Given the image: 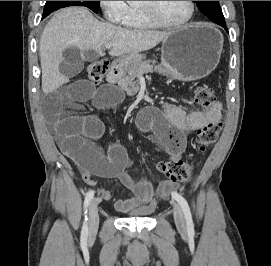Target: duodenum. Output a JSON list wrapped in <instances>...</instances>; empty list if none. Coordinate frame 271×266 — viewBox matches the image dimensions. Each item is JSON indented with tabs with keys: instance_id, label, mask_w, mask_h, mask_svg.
<instances>
[{
	"instance_id": "obj_1",
	"label": "duodenum",
	"mask_w": 271,
	"mask_h": 266,
	"mask_svg": "<svg viewBox=\"0 0 271 266\" xmlns=\"http://www.w3.org/2000/svg\"><path fill=\"white\" fill-rule=\"evenodd\" d=\"M126 61L124 59L114 60L111 64L107 80L110 84L118 83L124 72Z\"/></svg>"
}]
</instances>
